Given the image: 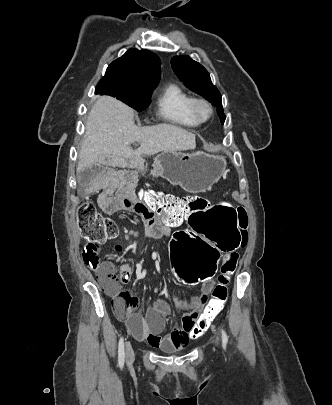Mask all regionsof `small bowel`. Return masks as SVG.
Segmentation results:
<instances>
[{"label": "small bowel", "instance_id": "c3829d8e", "mask_svg": "<svg viewBox=\"0 0 332 405\" xmlns=\"http://www.w3.org/2000/svg\"><path fill=\"white\" fill-rule=\"evenodd\" d=\"M137 161L138 166L142 168L144 159L140 157ZM114 177L119 180L116 181ZM137 178V171H129L128 168H111L109 162H89L88 168H83L82 172H78L74 184L75 186H100L101 181L106 180L107 187L99 198L98 211H103L104 215H129V213H133L143 220L147 238L160 239L168 236L171 230L179 224L180 220L171 223L163 222L161 219L155 221L150 217L152 212H142L140 198L133 187V180H137ZM112 269V265L109 263H104L97 268V276L103 286V274ZM130 276V266L123 264L121 266L120 280L127 282ZM213 287L214 283L211 278V281H206L200 292L191 299L176 298V305L178 308L186 310V313L182 318L181 326L164 336L161 334L165 328L166 316L170 310L167 302L158 300L148 309L144 316L141 314L123 316L115 311L120 317L125 318L129 331L137 340L145 341L150 346L164 352L168 349L169 351L183 349L191 340L189 331L195 329L199 313L204 309Z\"/></svg>", "mask_w": 332, "mask_h": 405}]
</instances>
